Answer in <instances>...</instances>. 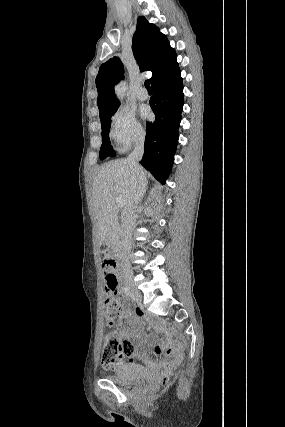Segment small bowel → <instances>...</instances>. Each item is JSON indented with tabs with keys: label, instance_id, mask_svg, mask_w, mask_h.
Returning <instances> with one entry per match:
<instances>
[{
	"label": "small bowel",
	"instance_id": "c3829d8e",
	"mask_svg": "<svg viewBox=\"0 0 285 427\" xmlns=\"http://www.w3.org/2000/svg\"><path fill=\"white\" fill-rule=\"evenodd\" d=\"M121 322H125L126 326H127V331L123 332L121 334L122 337H127V338H132L133 337V329L137 326H140L141 324H143L146 320L147 317L144 315H140L138 313L132 315L128 309L126 308L120 316ZM135 340L138 342H143L139 339L138 336H134ZM184 346V342L179 341L175 347H173V351L174 354L173 356L169 359V360H164L161 363V370L163 374H169L171 373V370L174 369L179 362L182 359V355H181V350ZM127 359H138L140 361H142V363L147 366L148 368H150L153 372L156 371V365L154 363H152L151 361H149L146 358V355L141 354L139 352H137L136 350L133 351V353L130 356L126 357ZM121 361L118 363L120 364Z\"/></svg>",
	"mask_w": 285,
	"mask_h": 427
}]
</instances>
